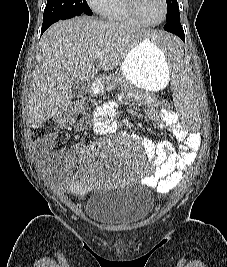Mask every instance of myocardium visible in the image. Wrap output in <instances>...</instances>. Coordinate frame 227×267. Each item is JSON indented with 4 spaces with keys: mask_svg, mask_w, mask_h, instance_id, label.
<instances>
[{
    "mask_svg": "<svg viewBox=\"0 0 227 267\" xmlns=\"http://www.w3.org/2000/svg\"><path fill=\"white\" fill-rule=\"evenodd\" d=\"M138 2H139V0H127V5H128L130 12L132 13V15L137 20H139L142 24L147 25V26H157L165 20V18L167 16V12H168V5H167L166 0H161L162 5H163V15H162V18L158 22L146 21L138 9Z\"/></svg>",
    "mask_w": 227,
    "mask_h": 267,
    "instance_id": "obj_1",
    "label": "myocardium"
}]
</instances>
